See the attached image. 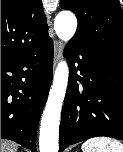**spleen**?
<instances>
[{
  "mask_svg": "<svg viewBox=\"0 0 123 152\" xmlns=\"http://www.w3.org/2000/svg\"><path fill=\"white\" fill-rule=\"evenodd\" d=\"M83 152H123V144L109 137H95L85 141Z\"/></svg>",
  "mask_w": 123,
  "mask_h": 152,
  "instance_id": "obj_1",
  "label": "spleen"
}]
</instances>
